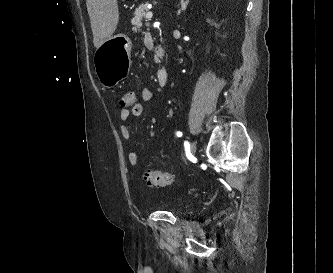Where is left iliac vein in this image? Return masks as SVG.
Wrapping results in <instances>:
<instances>
[{"label":"left iliac vein","mask_w":333,"mask_h":273,"mask_svg":"<svg viewBox=\"0 0 333 273\" xmlns=\"http://www.w3.org/2000/svg\"><path fill=\"white\" fill-rule=\"evenodd\" d=\"M190 150L193 155L196 153V144L194 142H191L190 144Z\"/></svg>","instance_id":"4c4485c4"}]
</instances>
